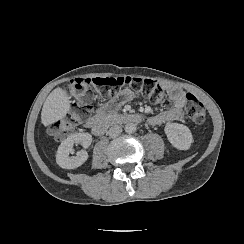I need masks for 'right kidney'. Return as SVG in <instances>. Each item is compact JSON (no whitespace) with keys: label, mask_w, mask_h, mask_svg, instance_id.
Masks as SVG:
<instances>
[{"label":"right kidney","mask_w":244,"mask_h":244,"mask_svg":"<svg viewBox=\"0 0 244 244\" xmlns=\"http://www.w3.org/2000/svg\"><path fill=\"white\" fill-rule=\"evenodd\" d=\"M92 142V136L89 133H75L67 137L60 146L56 154L57 164L64 169H74L81 166L87 159L88 153L86 150L78 151L76 156L73 154V145L81 144L84 148H88Z\"/></svg>","instance_id":"right-kidney-1"}]
</instances>
